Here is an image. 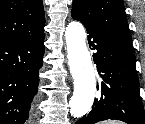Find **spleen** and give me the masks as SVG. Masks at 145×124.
Here are the masks:
<instances>
[{
  "mask_svg": "<svg viewBox=\"0 0 145 124\" xmlns=\"http://www.w3.org/2000/svg\"><path fill=\"white\" fill-rule=\"evenodd\" d=\"M101 124H123V123L115 121V120H111V121H107V122H102Z\"/></svg>",
  "mask_w": 145,
  "mask_h": 124,
  "instance_id": "spleen-1",
  "label": "spleen"
}]
</instances>
